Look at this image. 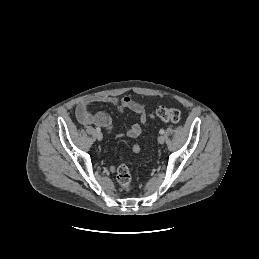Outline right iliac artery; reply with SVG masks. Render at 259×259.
Instances as JSON below:
<instances>
[{"instance_id":"1","label":"right iliac artery","mask_w":259,"mask_h":259,"mask_svg":"<svg viewBox=\"0 0 259 259\" xmlns=\"http://www.w3.org/2000/svg\"><path fill=\"white\" fill-rule=\"evenodd\" d=\"M96 131H97V132H100V131H101V129H100L99 127H97V128H96Z\"/></svg>"}]
</instances>
